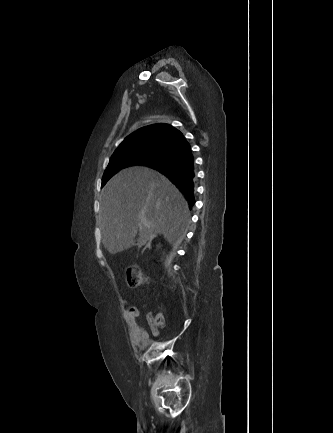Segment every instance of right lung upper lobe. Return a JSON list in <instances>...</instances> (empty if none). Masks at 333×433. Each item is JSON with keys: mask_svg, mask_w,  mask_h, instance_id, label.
Returning a JSON list of instances; mask_svg holds the SVG:
<instances>
[{"mask_svg": "<svg viewBox=\"0 0 333 433\" xmlns=\"http://www.w3.org/2000/svg\"><path fill=\"white\" fill-rule=\"evenodd\" d=\"M180 138L185 141L179 130L169 124L159 123L140 128L125 138L119 147L151 144L173 150L180 145Z\"/></svg>", "mask_w": 333, "mask_h": 433, "instance_id": "right-lung-upper-lobe-1", "label": "right lung upper lobe"}]
</instances>
